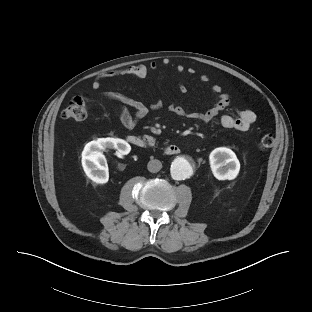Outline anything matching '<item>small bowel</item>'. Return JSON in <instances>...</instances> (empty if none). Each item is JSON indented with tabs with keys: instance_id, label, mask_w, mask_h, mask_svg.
I'll list each match as a JSON object with an SVG mask.
<instances>
[{
	"instance_id": "1",
	"label": "small bowel",
	"mask_w": 312,
	"mask_h": 312,
	"mask_svg": "<svg viewBox=\"0 0 312 312\" xmlns=\"http://www.w3.org/2000/svg\"><path fill=\"white\" fill-rule=\"evenodd\" d=\"M158 64L151 62L149 66L146 65H133L118 70L106 72L100 76H97L92 82L94 89L101 87L102 81L105 78H111L115 76H132L136 78H145L150 71H156ZM183 68L178 67V73L181 75ZM209 78L206 75L199 77L201 84L208 83ZM211 91L216 95V100L207 110L203 112L188 113L181 106L172 104L169 106V111L179 117H188L200 122L208 123L212 121L223 109L230 104L229 96L221 92V87L214 85L211 87ZM180 92L185 93L186 87L180 85ZM102 96L107 100H115L119 103L114 106V109L119 117L120 122L127 129H132L136 124L147 114L148 107L143 102L129 97L127 95L103 92ZM129 108L133 110L130 112ZM256 115L249 109L242 110L238 115H223L220 119V124L225 129H234L238 131H247L251 125L255 122Z\"/></svg>"
}]
</instances>
